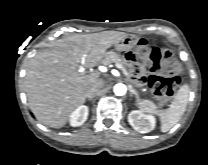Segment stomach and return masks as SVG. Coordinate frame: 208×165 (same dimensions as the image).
I'll list each match as a JSON object with an SVG mask.
<instances>
[{"instance_id": "1", "label": "stomach", "mask_w": 208, "mask_h": 165, "mask_svg": "<svg viewBox=\"0 0 208 165\" xmlns=\"http://www.w3.org/2000/svg\"><path fill=\"white\" fill-rule=\"evenodd\" d=\"M138 38L135 37H125L124 39L118 41L115 47L118 51L126 52L133 49L138 44Z\"/></svg>"}]
</instances>
